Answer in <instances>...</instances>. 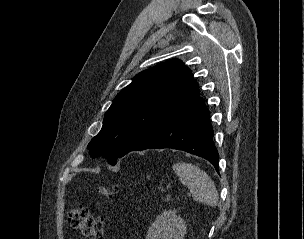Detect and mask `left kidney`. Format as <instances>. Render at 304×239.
I'll return each instance as SVG.
<instances>
[{
    "label": "left kidney",
    "mask_w": 304,
    "mask_h": 239,
    "mask_svg": "<svg viewBox=\"0 0 304 239\" xmlns=\"http://www.w3.org/2000/svg\"><path fill=\"white\" fill-rule=\"evenodd\" d=\"M186 223L175 211H164L148 229L146 239H184Z\"/></svg>",
    "instance_id": "1"
}]
</instances>
